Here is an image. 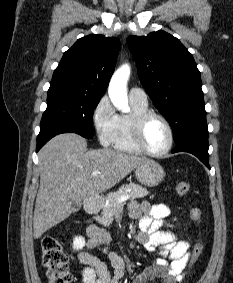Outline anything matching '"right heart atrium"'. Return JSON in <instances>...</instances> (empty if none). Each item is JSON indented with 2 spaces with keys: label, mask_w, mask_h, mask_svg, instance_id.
<instances>
[{
  "label": "right heart atrium",
  "mask_w": 233,
  "mask_h": 283,
  "mask_svg": "<svg viewBox=\"0 0 233 283\" xmlns=\"http://www.w3.org/2000/svg\"><path fill=\"white\" fill-rule=\"evenodd\" d=\"M117 114L110 99L103 96L92 112V124L102 146H109L113 142Z\"/></svg>",
  "instance_id": "d8ad5b80"
}]
</instances>
